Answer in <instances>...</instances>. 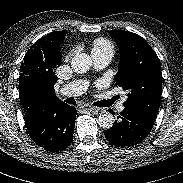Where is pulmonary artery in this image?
I'll return each instance as SVG.
<instances>
[{"label":"pulmonary artery","mask_w":183,"mask_h":183,"mask_svg":"<svg viewBox=\"0 0 183 183\" xmlns=\"http://www.w3.org/2000/svg\"><path fill=\"white\" fill-rule=\"evenodd\" d=\"M111 59L112 57L109 55H93L95 66L98 69H102L106 67L110 63ZM87 86L88 84L86 81L76 80L74 82H71L63 86L60 89L59 93L63 96H78L84 93V91L87 89ZM123 110H124V105H123V102H121L118 105V111L121 112Z\"/></svg>","instance_id":"pulmonary-artery-1"}]
</instances>
